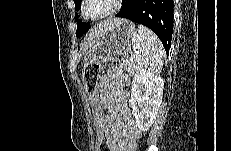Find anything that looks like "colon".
Segmentation results:
<instances>
[{
	"label": "colon",
	"instance_id": "obj_1",
	"mask_svg": "<svg viewBox=\"0 0 231 151\" xmlns=\"http://www.w3.org/2000/svg\"><path fill=\"white\" fill-rule=\"evenodd\" d=\"M101 66L97 63H88L82 72V81L89 97L92 114L97 130L96 151H111L109 145V129L104 118V111L96 94L100 77Z\"/></svg>",
	"mask_w": 231,
	"mask_h": 151
}]
</instances>
